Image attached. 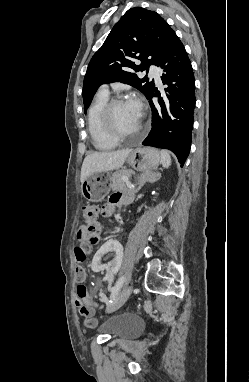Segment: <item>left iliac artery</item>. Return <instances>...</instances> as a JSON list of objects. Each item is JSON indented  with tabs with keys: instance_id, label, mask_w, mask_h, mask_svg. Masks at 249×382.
Masks as SVG:
<instances>
[{
	"instance_id": "left-iliac-artery-1",
	"label": "left iliac artery",
	"mask_w": 249,
	"mask_h": 382,
	"mask_svg": "<svg viewBox=\"0 0 249 382\" xmlns=\"http://www.w3.org/2000/svg\"><path fill=\"white\" fill-rule=\"evenodd\" d=\"M125 281H126V277L122 276L118 279L115 286L111 288V296H110V300H109L110 303H112V300L115 299L116 295L118 294V292L122 288Z\"/></svg>"
}]
</instances>
